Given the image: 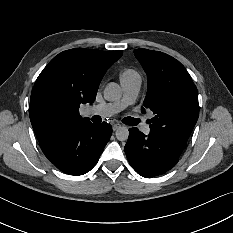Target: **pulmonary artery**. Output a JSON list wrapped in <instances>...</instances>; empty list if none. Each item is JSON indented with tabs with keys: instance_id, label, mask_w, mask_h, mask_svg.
Segmentation results:
<instances>
[{
	"instance_id": "1",
	"label": "pulmonary artery",
	"mask_w": 233,
	"mask_h": 233,
	"mask_svg": "<svg viewBox=\"0 0 233 233\" xmlns=\"http://www.w3.org/2000/svg\"><path fill=\"white\" fill-rule=\"evenodd\" d=\"M122 89L124 91V99L113 104H105L95 106L89 109V114H97L100 116H110L115 112L125 108L128 105L133 104L139 94L141 81L131 82V83H121ZM140 130L143 134H150V127L148 124H142Z\"/></svg>"
}]
</instances>
